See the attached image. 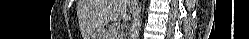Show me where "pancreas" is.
Segmentation results:
<instances>
[{"label":"pancreas","mask_w":249,"mask_h":39,"mask_svg":"<svg viewBox=\"0 0 249 39\" xmlns=\"http://www.w3.org/2000/svg\"><path fill=\"white\" fill-rule=\"evenodd\" d=\"M118 24H112L108 27L106 31V38L107 39H115L118 36Z\"/></svg>","instance_id":"obj_1"}]
</instances>
